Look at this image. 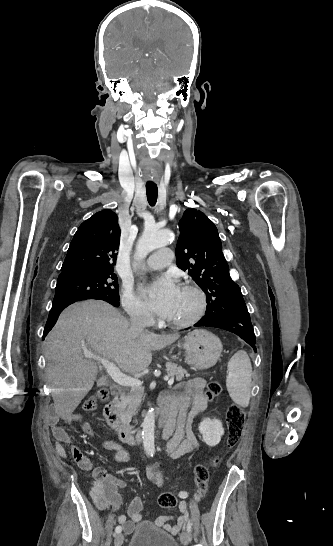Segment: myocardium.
Returning <instances> with one entry per match:
<instances>
[{
  "label": "myocardium",
  "mask_w": 333,
  "mask_h": 546,
  "mask_svg": "<svg viewBox=\"0 0 333 546\" xmlns=\"http://www.w3.org/2000/svg\"><path fill=\"white\" fill-rule=\"evenodd\" d=\"M182 288L188 290L195 296L197 304L194 312L187 319L181 321L168 319V324L177 329L188 328L196 324L202 318L207 308L206 295L196 283L186 281L182 284Z\"/></svg>",
  "instance_id": "1"
}]
</instances>
